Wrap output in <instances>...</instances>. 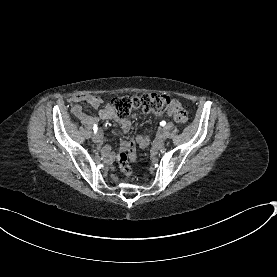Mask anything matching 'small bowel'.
Returning a JSON list of instances; mask_svg holds the SVG:
<instances>
[{
	"mask_svg": "<svg viewBox=\"0 0 277 277\" xmlns=\"http://www.w3.org/2000/svg\"><path fill=\"white\" fill-rule=\"evenodd\" d=\"M81 99L82 100L89 99L90 103L95 107L100 106L103 103V101L101 100V98L95 97V96H90L88 93H82L80 96H77L73 99V105L71 107V112L77 118H79L82 122H90L94 118L92 116H90L89 114H87L86 112H84L83 108L79 104V102H82ZM178 110H181V104L179 101L173 100L170 105L169 115L175 116V113ZM97 116L99 119H102V120L115 121L119 125V129H120L119 135L121 137L123 135L127 134L131 129V121L128 118H120L119 116H117L113 106L109 103L105 104L104 106H102L99 109ZM137 140L142 147H146L149 142V138L144 134H139L137 136ZM124 143L126 145L133 146L135 144V140L133 138H130V139L126 138L124 140ZM101 152H102V154L105 155L108 162H110V163L115 162V160H116L115 154H114V152L110 151L109 147H107V146L102 147Z\"/></svg>",
	"mask_w": 277,
	"mask_h": 277,
	"instance_id": "1",
	"label": "small bowel"
}]
</instances>
